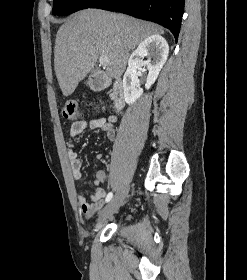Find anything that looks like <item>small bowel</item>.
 Masks as SVG:
<instances>
[{
    "label": "small bowel",
    "mask_w": 247,
    "mask_h": 280,
    "mask_svg": "<svg viewBox=\"0 0 247 280\" xmlns=\"http://www.w3.org/2000/svg\"><path fill=\"white\" fill-rule=\"evenodd\" d=\"M114 122L115 119L113 117H110L109 119L96 117L89 120L83 119L75 121L71 124L68 141V159L73 176L76 180H79L82 177V162L74 149L76 137L87 128L101 129L105 132L106 137L112 141L116 137V128ZM95 158L97 160H100L102 158V154L97 153L95 155ZM105 180V171L98 170L93 180V183L95 186H97V188L93 195L90 197V200H88L87 197L82 194H79L77 197L78 205L87 218H91L97 211H99L103 207L105 191L99 186L103 184Z\"/></svg>",
    "instance_id": "1"
}]
</instances>
